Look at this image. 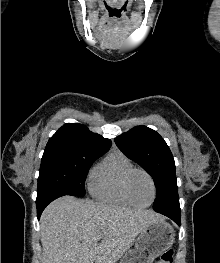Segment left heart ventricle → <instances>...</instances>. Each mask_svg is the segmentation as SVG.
Masks as SVG:
<instances>
[{"instance_id":"obj_1","label":"left heart ventricle","mask_w":220,"mask_h":263,"mask_svg":"<svg viewBox=\"0 0 220 263\" xmlns=\"http://www.w3.org/2000/svg\"><path fill=\"white\" fill-rule=\"evenodd\" d=\"M130 191L133 199L138 204H147L152 199V187L148 178L141 174H135L131 180Z\"/></svg>"}]
</instances>
